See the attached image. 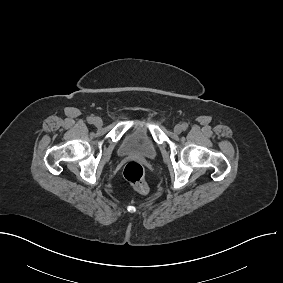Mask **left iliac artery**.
Segmentation results:
<instances>
[{"label":"left iliac artery","mask_w":283,"mask_h":283,"mask_svg":"<svg viewBox=\"0 0 283 283\" xmlns=\"http://www.w3.org/2000/svg\"><path fill=\"white\" fill-rule=\"evenodd\" d=\"M182 128H183L184 130H186V129L188 128V124H187V123H183V124H182Z\"/></svg>","instance_id":"44dca946"}]
</instances>
